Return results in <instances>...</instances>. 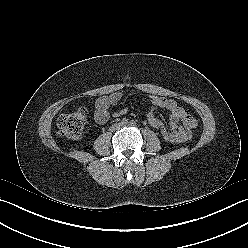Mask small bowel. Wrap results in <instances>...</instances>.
I'll use <instances>...</instances> for the list:
<instances>
[{
  "instance_id": "1",
  "label": "small bowel",
  "mask_w": 248,
  "mask_h": 248,
  "mask_svg": "<svg viewBox=\"0 0 248 248\" xmlns=\"http://www.w3.org/2000/svg\"><path fill=\"white\" fill-rule=\"evenodd\" d=\"M122 96L121 92H113L109 95L101 96L96 100L94 119L98 124L103 125L108 121L110 116L109 109L117 105L122 99ZM150 103L151 109L147 114V120L153 128H163V121L156 116L155 110L164 108L170 112L169 128L176 134L178 143L190 139L192 130L197 126V120L192 115L172 99L152 95L150 96Z\"/></svg>"
}]
</instances>
